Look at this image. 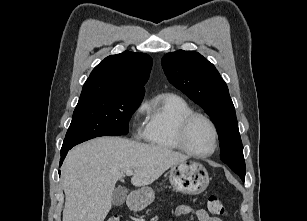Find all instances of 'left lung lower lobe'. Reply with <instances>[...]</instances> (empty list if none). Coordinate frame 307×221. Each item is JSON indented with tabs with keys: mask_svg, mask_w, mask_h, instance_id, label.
Masks as SVG:
<instances>
[{
	"mask_svg": "<svg viewBox=\"0 0 307 221\" xmlns=\"http://www.w3.org/2000/svg\"><path fill=\"white\" fill-rule=\"evenodd\" d=\"M241 179H242L243 181H245V177H241Z\"/></svg>",
	"mask_w": 307,
	"mask_h": 221,
	"instance_id": "obj_1",
	"label": "left lung lower lobe"
}]
</instances>
